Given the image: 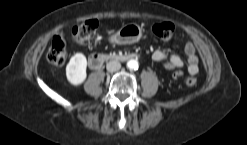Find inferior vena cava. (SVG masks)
<instances>
[{
	"label": "inferior vena cava",
	"mask_w": 247,
	"mask_h": 145,
	"mask_svg": "<svg viewBox=\"0 0 247 145\" xmlns=\"http://www.w3.org/2000/svg\"><path fill=\"white\" fill-rule=\"evenodd\" d=\"M121 64L118 61H110L106 65V69L108 72H116L120 70Z\"/></svg>",
	"instance_id": "inferior-vena-cava-1"
}]
</instances>
